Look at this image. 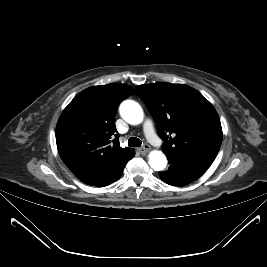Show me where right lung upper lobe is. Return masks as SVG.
Instances as JSON below:
<instances>
[{"label":"right lung upper lobe","instance_id":"obj_1","mask_svg":"<svg viewBox=\"0 0 267 267\" xmlns=\"http://www.w3.org/2000/svg\"><path fill=\"white\" fill-rule=\"evenodd\" d=\"M134 93L125 84L93 86L75 96L62 112L56 126L58 151L85 184H98L134 157L133 149L120 147L115 127L119 104Z\"/></svg>","mask_w":267,"mask_h":267}]
</instances>
